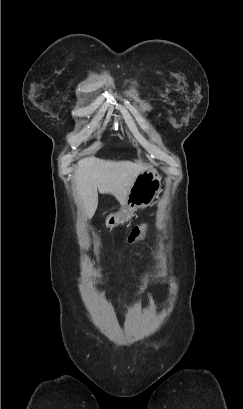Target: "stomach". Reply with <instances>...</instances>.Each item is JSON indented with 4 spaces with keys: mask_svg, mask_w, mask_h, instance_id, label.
Instances as JSON below:
<instances>
[{
    "mask_svg": "<svg viewBox=\"0 0 243 409\" xmlns=\"http://www.w3.org/2000/svg\"><path fill=\"white\" fill-rule=\"evenodd\" d=\"M161 189L159 172L152 167L144 169L130 188L124 207L119 212L109 214L106 218V226L112 229L130 220L138 208L152 205Z\"/></svg>",
    "mask_w": 243,
    "mask_h": 409,
    "instance_id": "obj_1",
    "label": "stomach"
}]
</instances>
